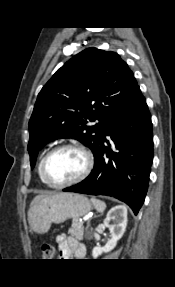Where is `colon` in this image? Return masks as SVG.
<instances>
[{
    "instance_id": "colon-1",
    "label": "colon",
    "mask_w": 175,
    "mask_h": 287,
    "mask_svg": "<svg viewBox=\"0 0 175 287\" xmlns=\"http://www.w3.org/2000/svg\"><path fill=\"white\" fill-rule=\"evenodd\" d=\"M42 255L45 260H50L54 255V247L49 242H44L41 245Z\"/></svg>"
}]
</instances>
